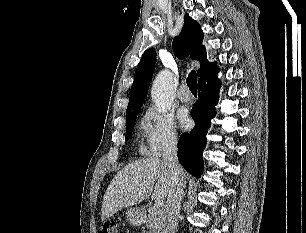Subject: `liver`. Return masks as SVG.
Segmentation results:
<instances>
[{"label":"liver","instance_id":"1","mask_svg":"<svg viewBox=\"0 0 306 233\" xmlns=\"http://www.w3.org/2000/svg\"><path fill=\"white\" fill-rule=\"evenodd\" d=\"M170 186L171 171L163 160L147 158L134 161L122 168L108 186L101 218L105 221L117 211L140 203L149 196L164 199Z\"/></svg>","mask_w":306,"mask_h":233}]
</instances>
